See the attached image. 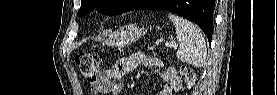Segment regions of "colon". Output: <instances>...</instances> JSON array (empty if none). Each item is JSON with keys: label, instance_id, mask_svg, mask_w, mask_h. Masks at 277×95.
I'll use <instances>...</instances> for the list:
<instances>
[{"label": "colon", "instance_id": "obj_1", "mask_svg": "<svg viewBox=\"0 0 277 95\" xmlns=\"http://www.w3.org/2000/svg\"><path fill=\"white\" fill-rule=\"evenodd\" d=\"M75 61L81 75L89 81H93L100 66L98 56L92 53H82L75 57ZM182 72L185 75L187 85L191 86L195 81L193 73L185 68H182Z\"/></svg>", "mask_w": 277, "mask_h": 95}]
</instances>
